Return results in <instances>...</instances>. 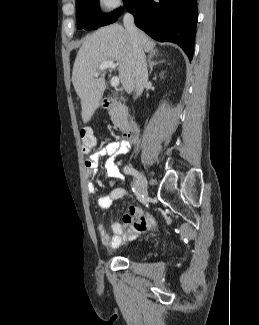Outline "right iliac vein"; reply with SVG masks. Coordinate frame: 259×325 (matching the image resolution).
I'll return each mask as SVG.
<instances>
[{"instance_id":"obj_1","label":"right iliac vein","mask_w":259,"mask_h":325,"mask_svg":"<svg viewBox=\"0 0 259 325\" xmlns=\"http://www.w3.org/2000/svg\"><path fill=\"white\" fill-rule=\"evenodd\" d=\"M136 178L137 188L141 195L146 196L147 194V184L144 174L141 171H136L134 175Z\"/></svg>"}]
</instances>
